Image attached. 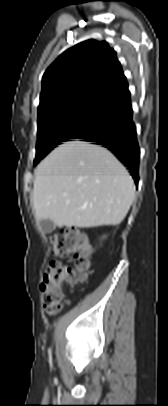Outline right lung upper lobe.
<instances>
[{
  "label": "right lung upper lobe",
  "instance_id": "obj_1",
  "mask_svg": "<svg viewBox=\"0 0 168 406\" xmlns=\"http://www.w3.org/2000/svg\"><path fill=\"white\" fill-rule=\"evenodd\" d=\"M127 90L115 51L105 41L87 40L65 51L45 71L38 119L82 101L108 102Z\"/></svg>",
  "mask_w": 168,
  "mask_h": 406
}]
</instances>
